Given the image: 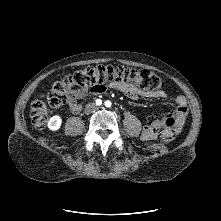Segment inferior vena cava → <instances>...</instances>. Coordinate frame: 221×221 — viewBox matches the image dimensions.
I'll use <instances>...</instances> for the list:
<instances>
[{"label":"inferior vena cava","instance_id":"obj_1","mask_svg":"<svg viewBox=\"0 0 221 221\" xmlns=\"http://www.w3.org/2000/svg\"><path fill=\"white\" fill-rule=\"evenodd\" d=\"M88 107H95L93 104H88Z\"/></svg>","mask_w":221,"mask_h":221}]
</instances>
